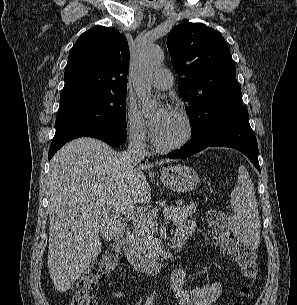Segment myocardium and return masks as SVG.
<instances>
[{"instance_id":"myocardium-1","label":"myocardium","mask_w":297,"mask_h":305,"mask_svg":"<svg viewBox=\"0 0 297 305\" xmlns=\"http://www.w3.org/2000/svg\"><path fill=\"white\" fill-rule=\"evenodd\" d=\"M173 113L177 115L182 121L184 125V133L177 141L170 144H161L152 135V144L155 149L160 152H172L178 150L185 146L193 137L194 125L191 117L183 110H175Z\"/></svg>"}]
</instances>
